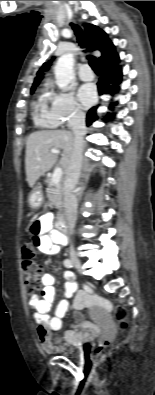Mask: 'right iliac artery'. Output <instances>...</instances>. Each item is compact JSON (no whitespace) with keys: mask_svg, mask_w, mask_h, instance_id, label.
<instances>
[{"mask_svg":"<svg viewBox=\"0 0 155 395\" xmlns=\"http://www.w3.org/2000/svg\"><path fill=\"white\" fill-rule=\"evenodd\" d=\"M64 266L66 268H72L73 264H72V262L69 259H66V260H64Z\"/></svg>","mask_w":155,"mask_h":395,"instance_id":"obj_1","label":"right iliac artery"}]
</instances>
